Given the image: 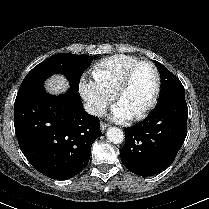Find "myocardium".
Returning a JSON list of instances; mask_svg holds the SVG:
<instances>
[{"label":"myocardium","instance_id":"1","mask_svg":"<svg viewBox=\"0 0 209 209\" xmlns=\"http://www.w3.org/2000/svg\"><path fill=\"white\" fill-rule=\"evenodd\" d=\"M143 64L149 65L152 68L153 73H154V77H155V86H154V91H153L152 97H151L150 101L148 102V104L143 109H141L140 111H138L136 114H134L132 116L136 120L142 119L145 116H147L157 103V100H158V97L160 94L161 79H160V74H159V71H158L156 65L149 60H139V61L135 62L126 71V73L124 74L123 78L121 79V81L115 91V98L117 101H119V98L122 95V93L130 85L135 71L137 70V68L139 66H141Z\"/></svg>","mask_w":209,"mask_h":209}]
</instances>
